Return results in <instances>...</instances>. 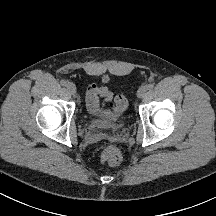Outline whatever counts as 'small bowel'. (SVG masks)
Instances as JSON below:
<instances>
[{
	"instance_id": "c3829d8e",
	"label": "small bowel",
	"mask_w": 216,
	"mask_h": 216,
	"mask_svg": "<svg viewBox=\"0 0 216 216\" xmlns=\"http://www.w3.org/2000/svg\"><path fill=\"white\" fill-rule=\"evenodd\" d=\"M113 100V93L105 85L89 84L86 88V106L89 113L98 118H105L113 121L116 113L113 110L104 107V103H110Z\"/></svg>"
}]
</instances>
